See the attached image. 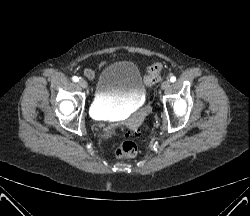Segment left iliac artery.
<instances>
[{
	"mask_svg": "<svg viewBox=\"0 0 250 216\" xmlns=\"http://www.w3.org/2000/svg\"><path fill=\"white\" fill-rule=\"evenodd\" d=\"M170 81H171V82H175V81H176V77H175V76H172V77L170 78Z\"/></svg>",
	"mask_w": 250,
	"mask_h": 216,
	"instance_id": "44dca946",
	"label": "left iliac artery"
}]
</instances>
